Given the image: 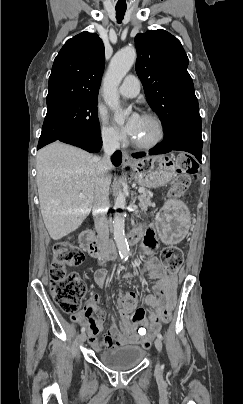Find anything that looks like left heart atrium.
Returning <instances> with one entry per match:
<instances>
[{
    "instance_id": "left-heart-atrium-1",
    "label": "left heart atrium",
    "mask_w": 243,
    "mask_h": 404,
    "mask_svg": "<svg viewBox=\"0 0 243 404\" xmlns=\"http://www.w3.org/2000/svg\"><path fill=\"white\" fill-rule=\"evenodd\" d=\"M141 120L142 116L139 113H133L122 127L123 132L131 138H134L140 128Z\"/></svg>"
}]
</instances>
